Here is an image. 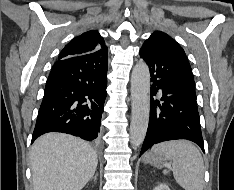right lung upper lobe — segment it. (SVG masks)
Listing matches in <instances>:
<instances>
[{"label": "right lung upper lobe", "mask_w": 234, "mask_h": 190, "mask_svg": "<svg viewBox=\"0 0 234 190\" xmlns=\"http://www.w3.org/2000/svg\"><path fill=\"white\" fill-rule=\"evenodd\" d=\"M108 52L107 46L98 31L90 30L70 41L61 51L58 60L94 52Z\"/></svg>", "instance_id": "right-lung-upper-lobe-1"}]
</instances>
